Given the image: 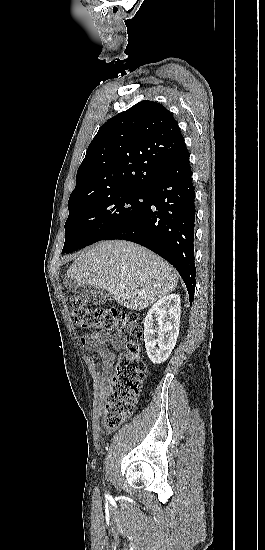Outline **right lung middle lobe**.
I'll list each match as a JSON object with an SVG mask.
<instances>
[{
    "mask_svg": "<svg viewBox=\"0 0 265 550\" xmlns=\"http://www.w3.org/2000/svg\"><path fill=\"white\" fill-rule=\"evenodd\" d=\"M148 195V189H132L69 202L62 252L70 253L103 240L126 225L145 209Z\"/></svg>",
    "mask_w": 265,
    "mask_h": 550,
    "instance_id": "right-lung-middle-lobe-1",
    "label": "right lung middle lobe"
}]
</instances>
